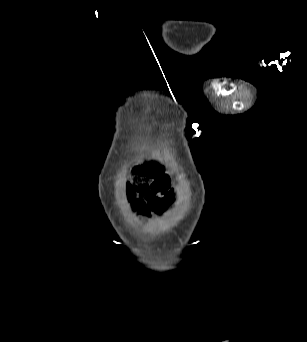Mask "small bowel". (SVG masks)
<instances>
[{
  "label": "small bowel",
  "mask_w": 307,
  "mask_h": 342,
  "mask_svg": "<svg viewBox=\"0 0 307 342\" xmlns=\"http://www.w3.org/2000/svg\"><path fill=\"white\" fill-rule=\"evenodd\" d=\"M135 209L139 216H144L148 213L147 207L145 206H135Z\"/></svg>",
  "instance_id": "obj_1"
}]
</instances>
